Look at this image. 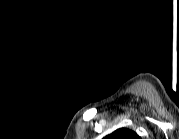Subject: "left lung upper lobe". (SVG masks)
<instances>
[{
    "label": "left lung upper lobe",
    "instance_id": "left-lung-upper-lobe-1",
    "mask_svg": "<svg viewBox=\"0 0 179 139\" xmlns=\"http://www.w3.org/2000/svg\"><path fill=\"white\" fill-rule=\"evenodd\" d=\"M109 139H139L138 135L129 129H118L111 135L107 136Z\"/></svg>",
    "mask_w": 179,
    "mask_h": 139
}]
</instances>
